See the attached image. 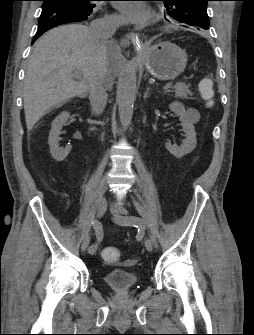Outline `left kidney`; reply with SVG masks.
<instances>
[{
	"label": "left kidney",
	"instance_id": "obj_1",
	"mask_svg": "<svg viewBox=\"0 0 254 335\" xmlns=\"http://www.w3.org/2000/svg\"><path fill=\"white\" fill-rule=\"evenodd\" d=\"M169 108L177 116H179L183 131L185 132V139L182 141L180 146L166 142L165 147L176 158H182L183 156L191 153L196 147L197 141L195 128L189 120L185 107L182 103L175 101L169 105Z\"/></svg>",
	"mask_w": 254,
	"mask_h": 335
}]
</instances>
